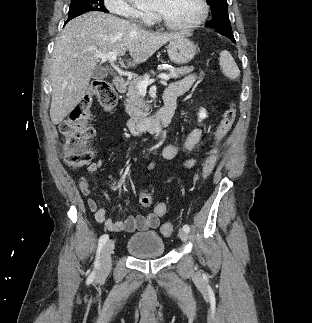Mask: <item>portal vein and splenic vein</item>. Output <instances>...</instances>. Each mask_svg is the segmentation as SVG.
Masks as SVG:
<instances>
[{
	"label": "portal vein and splenic vein",
	"mask_w": 312,
	"mask_h": 323,
	"mask_svg": "<svg viewBox=\"0 0 312 323\" xmlns=\"http://www.w3.org/2000/svg\"><path fill=\"white\" fill-rule=\"evenodd\" d=\"M98 58H102V60H109V62H115L118 54L117 52H108V54H97ZM158 78H161L163 82H166V80H169L167 74H160ZM155 80H144V82H138L137 88L141 94H146L147 86H150V84H153Z\"/></svg>",
	"instance_id": "portal-vein-and-splenic-vein-1"
}]
</instances>
